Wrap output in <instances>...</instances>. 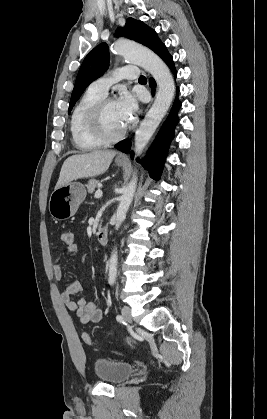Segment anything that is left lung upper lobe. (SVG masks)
<instances>
[{"mask_svg":"<svg viewBox=\"0 0 267 419\" xmlns=\"http://www.w3.org/2000/svg\"><path fill=\"white\" fill-rule=\"evenodd\" d=\"M116 36H126L147 46L156 54H158L164 46L153 29L145 25L142 21L133 18H128L126 20L124 28H118L116 30ZM108 66V45L106 43H101L88 53L79 69L71 95L69 111L73 108L87 86L92 81L99 78L108 69Z\"/></svg>","mask_w":267,"mask_h":419,"instance_id":"left-lung-upper-lobe-1","label":"left lung upper lobe"}]
</instances>
